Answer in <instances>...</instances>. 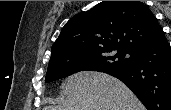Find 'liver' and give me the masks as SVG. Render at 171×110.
I'll return each instance as SVG.
<instances>
[{
	"label": "liver",
	"mask_w": 171,
	"mask_h": 110,
	"mask_svg": "<svg viewBox=\"0 0 171 110\" xmlns=\"http://www.w3.org/2000/svg\"><path fill=\"white\" fill-rule=\"evenodd\" d=\"M65 98L43 110H145L133 92L118 79L100 72L83 71L62 85Z\"/></svg>",
	"instance_id": "1"
}]
</instances>
